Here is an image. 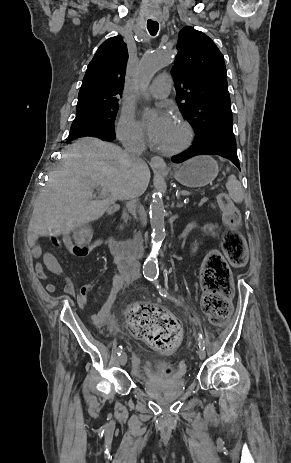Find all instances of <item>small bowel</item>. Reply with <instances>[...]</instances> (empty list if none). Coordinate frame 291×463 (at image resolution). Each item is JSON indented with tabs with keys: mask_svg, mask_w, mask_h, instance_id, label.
I'll use <instances>...</instances> for the list:
<instances>
[{
	"mask_svg": "<svg viewBox=\"0 0 291 463\" xmlns=\"http://www.w3.org/2000/svg\"><path fill=\"white\" fill-rule=\"evenodd\" d=\"M51 238L53 240V244L57 246L60 245V242L55 237H50V239ZM62 243L72 254L76 256H86L95 248L104 244L102 240H95L81 248H73L71 244V237L68 235L63 236ZM32 253L35 258L41 257L43 261V263L38 262L35 266L38 279L41 281H46L47 279V275L43 268L44 265L49 272L60 277L64 281V291L66 294L74 297L80 308H85L88 304L87 289L82 288L78 293H76L72 279L64 273L63 268L56 257L52 253L44 251L40 245L34 244ZM115 263L118 273L113 278L111 296L100 311L91 316L92 323L98 327L111 322L112 305L117 293L138 276V263L135 258L131 256H115ZM46 290L53 293L56 291V286L52 283H48L46 285Z\"/></svg>",
	"mask_w": 291,
	"mask_h": 463,
	"instance_id": "1",
	"label": "small bowel"
}]
</instances>
